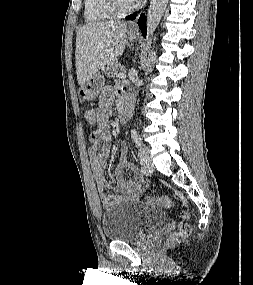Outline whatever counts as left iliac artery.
I'll return each instance as SVG.
<instances>
[{
    "mask_svg": "<svg viewBox=\"0 0 253 285\" xmlns=\"http://www.w3.org/2000/svg\"><path fill=\"white\" fill-rule=\"evenodd\" d=\"M132 138L138 146L142 145V138L140 137L138 133H133Z\"/></svg>",
    "mask_w": 253,
    "mask_h": 285,
    "instance_id": "obj_1",
    "label": "left iliac artery"
}]
</instances>
